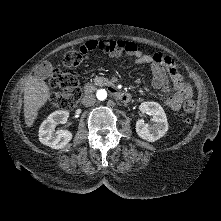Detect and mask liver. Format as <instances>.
<instances>
[{
	"mask_svg": "<svg viewBox=\"0 0 221 221\" xmlns=\"http://www.w3.org/2000/svg\"><path fill=\"white\" fill-rule=\"evenodd\" d=\"M48 85L34 76H28L24 87V117L28 127L38 115V110L47 102L50 96Z\"/></svg>",
	"mask_w": 221,
	"mask_h": 221,
	"instance_id": "obj_1",
	"label": "liver"
}]
</instances>
